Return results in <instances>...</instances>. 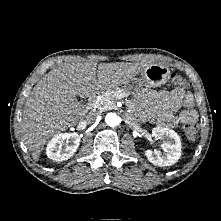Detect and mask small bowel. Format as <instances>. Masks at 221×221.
Returning <instances> with one entry per match:
<instances>
[{
  "instance_id": "small-bowel-1",
  "label": "small bowel",
  "mask_w": 221,
  "mask_h": 221,
  "mask_svg": "<svg viewBox=\"0 0 221 221\" xmlns=\"http://www.w3.org/2000/svg\"><path fill=\"white\" fill-rule=\"evenodd\" d=\"M162 109L158 115V122L164 126H176L185 121H195L196 111L193 109V95L183 89H175L161 94ZM183 106L184 110L177 112Z\"/></svg>"
}]
</instances>
